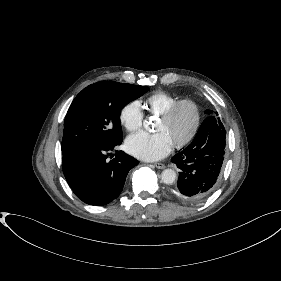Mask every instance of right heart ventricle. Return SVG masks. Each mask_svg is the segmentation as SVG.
Instances as JSON below:
<instances>
[{"instance_id": "1", "label": "right heart ventricle", "mask_w": 281, "mask_h": 281, "mask_svg": "<svg viewBox=\"0 0 281 281\" xmlns=\"http://www.w3.org/2000/svg\"><path fill=\"white\" fill-rule=\"evenodd\" d=\"M178 100H180L179 97L165 91H156L138 101V103L150 114L159 115Z\"/></svg>"}]
</instances>
